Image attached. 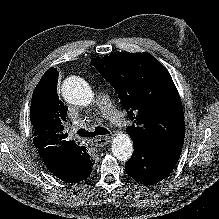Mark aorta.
<instances>
[{
	"instance_id": "obj_1",
	"label": "aorta",
	"mask_w": 219,
	"mask_h": 219,
	"mask_svg": "<svg viewBox=\"0 0 219 219\" xmlns=\"http://www.w3.org/2000/svg\"><path fill=\"white\" fill-rule=\"evenodd\" d=\"M62 95L68 103L78 106H88L94 99V93L88 83L76 77L63 82ZM111 149L119 161H128L133 153L132 140L128 134L118 133L112 140Z\"/></svg>"
}]
</instances>
